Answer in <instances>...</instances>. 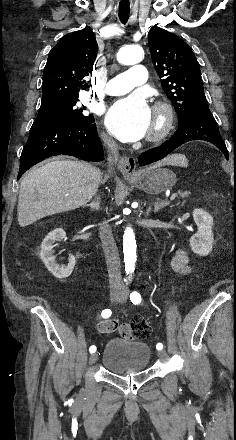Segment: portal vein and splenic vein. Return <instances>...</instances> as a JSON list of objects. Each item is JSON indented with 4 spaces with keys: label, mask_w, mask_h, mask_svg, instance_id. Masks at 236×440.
<instances>
[{
    "label": "portal vein and splenic vein",
    "mask_w": 236,
    "mask_h": 440,
    "mask_svg": "<svg viewBox=\"0 0 236 440\" xmlns=\"http://www.w3.org/2000/svg\"><path fill=\"white\" fill-rule=\"evenodd\" d=\"M176 196H177V193L172 194L170 197V200H174L176 198Z\"/></svg>",
    "instance_id": "18ae733b"
}]
</instances>
